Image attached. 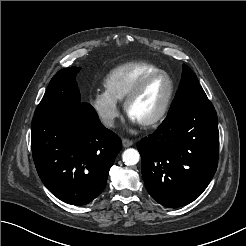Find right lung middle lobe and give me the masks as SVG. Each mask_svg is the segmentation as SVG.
<instances>
[{
    "instance_id": "obj_1",
    "label": "right lung middle lobe",
    "mask_w": 246,
    "mask_h": 246,
    "mask_svg": "<svg viewBox=\"0 0 246 246\" xmlns=\"http://www.w3.org/2000/svg\"><path fill=\"white\" fill-rule=\"evenodd\" d=\"M79 70V67L65 68L53 76L33 118L61 116L81 103L75 81Z\"/></svg>"
}]
</instances>
